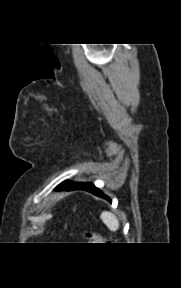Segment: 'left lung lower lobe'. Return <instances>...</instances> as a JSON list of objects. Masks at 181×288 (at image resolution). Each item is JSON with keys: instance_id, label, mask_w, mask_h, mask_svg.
I'll return each mask as SVG.
<instances>
[{"instance_id": "obj_1", "label": "left lung lower lobe", "mask_w": 181, "mask_h": 288, "mask_svg": "<svg viewBox=\"0 0 181 288\" xmlns=\"http://www.w3.org/2000/svg\"><path fill=\"white\" fill-rule=\"evenodd\" d=\"M57 190H85L88 191L96 196L102 197L106 200H108L109 202H111V200L109 199L108 196L104 195L98 188H96L92 183H75V184H71L69 186L66 185H59L57 188Z\"/></svg>"}]
</instances>
